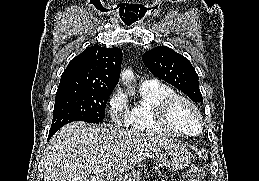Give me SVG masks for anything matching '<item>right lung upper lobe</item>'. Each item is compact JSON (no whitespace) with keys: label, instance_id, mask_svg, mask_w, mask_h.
I'll use <instances>...</instances> for the list:
<instances>
[{"label":"right lung upper lobe","instance_id":"cb5924a9","mask_svg":"<svg viewBox=\"0 0 259 181\" xmlns=\"http://www.w3.org/2000/svg\"><path fill=\"white\" fill-rule=\"evenodd\" d=\"M122 51L90 46L73 58L61 75L58 89L112 92L120 77Z\"/></svg>","mask_w":259,"mask_h":181}]
</instances>
